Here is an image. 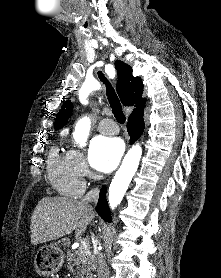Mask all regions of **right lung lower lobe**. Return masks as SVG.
I'll list each match as a JSON object with an SVG mask.
<instances>
[{
  "label": "right lung lower lobe",
  "mask_w": 221,
  "mask_h": 278,
  "mask_svg": "<svg viewBox=\"0 0 221 278\" xmlns=\"http://www.w3.org/2000/svg\"><path fill=\"white\" fill-rule=\"evenodd\" d=\"M144 119L142 117H133L128 119V133L130 135V143H134L143 133ZM106 187H102L99 200L96 206L97 213L105 221L111 222L110 209L106 201Z\"/></svg>",
  "instance_id": "obj_1"
}]
</instances>
